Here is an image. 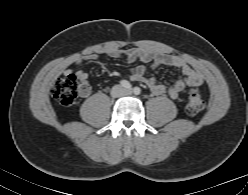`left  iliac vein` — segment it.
Masks as SVG:
<instances>
[{"instance_id":"4c4485c4","label":"left iliac vein","mask_w":248,"mask_h":195,"mask_svg":"<svg viewBox=\"0 0 248 195\" xmlns=\"http://www.w3.org/2000/svg\"><path fill=\"white\" fill-rule=\"evenodd\" d=\"M125 94H126V95L130 94V91H129V90H126V91H125Z\"/></svg>"}]
</instances>
